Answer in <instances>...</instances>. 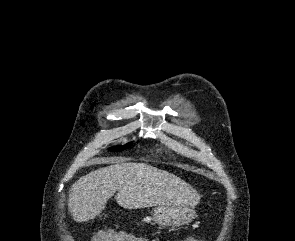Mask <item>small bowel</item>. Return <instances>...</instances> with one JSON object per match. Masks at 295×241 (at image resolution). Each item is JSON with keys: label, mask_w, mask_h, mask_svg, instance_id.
Returning <instances> with one entry per match:
<instances>
[{"label": "small bowel", "mask_w": 295, "mask_h": 241, "mask_svg": "<svg viewBox=\"0 0 295 241\" xmlns=\"http://www.w3.org/2000/svg\"><path fill=\"white\" fill-rule=\"evenodd\" d=\"M131 239H132V241H147V240H145V239L137 238V237H132ZM186 240H188V241H192V239H186ZM186 240H185V241H186Z\"/></svg>", "instance_id": "obj_1"}]
</instances>
